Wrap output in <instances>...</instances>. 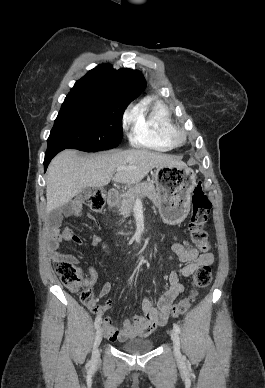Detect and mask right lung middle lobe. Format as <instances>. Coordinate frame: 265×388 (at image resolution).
<instances>
[{
	"label": "right lung middle lobe",
	"mask_w": 265,
	"mask_h": 388,
	"mask_svg": "<svg viewBox=\"0 0 265 388\" xmlns=\"http://www.w3.org/2000/svg\"><path fill=\"white\" fill-rule=\"evenodd\" d=\"M132 100L106 94H68L47 140V151L97 152L121 143L123 112Z\"/></svg>",
	"instance_id": "obj_1"
}]
</instances>
